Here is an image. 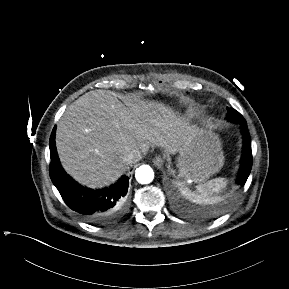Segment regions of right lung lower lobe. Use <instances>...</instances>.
Wrapping results in <instances>:
<instances>
[{"label": "right lung lower lobe", "mask_w": 289, "mask_h": 289, "mask_svg": "<svg viewBox=\"0 0 289 289\" xmlns=\"http://www.w3.org/2000/svg\"><path fill=\"white\" fill-rule=\"evenodd\" d=\"M54 127L50 136V177L65 203L88 223L103 224L115 220L123 211L129 182L123 176L116 184L102 190L82 187L62 169L55 146Z\"/></svg>", "instance_id": "right-lung-lower-lobe-1"}]
</instances>
